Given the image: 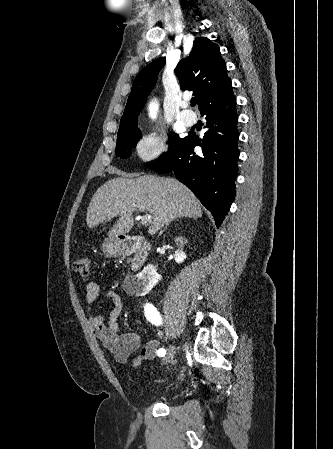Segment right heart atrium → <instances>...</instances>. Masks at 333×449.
Instances as JSON below:
<instances>
[{
  "label": "right heart atrium",
  "mask_w": 333,
  "mask_h": 449,
  "mask_svg": "<svg viewBox=\"0 0 333 449\" xmlns=\"http://www.w3.org/2000/svg\"><path fill=\"white\" fill-rule=\"evenodd\" d=\"M166 137L151 132L144 134L136 143L135 151L144 161H157L164 155L167 148Z\"/></svg>",
  "instance_id": "1"
}]
</instances>
